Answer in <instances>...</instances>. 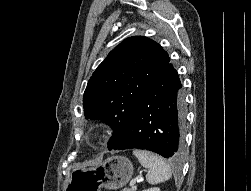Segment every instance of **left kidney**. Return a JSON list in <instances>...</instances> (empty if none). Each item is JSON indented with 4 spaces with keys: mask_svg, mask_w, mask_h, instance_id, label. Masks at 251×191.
I'll use <instances>...</instances> for the list:
<instances>
[{
    "mask_svg": "<svg viewBox=\"0 0 251 191\" xmlns=\"http://www.w3.org/2000/svg\"><path fill=\"white\" fill-rule=\"evenodd\" d=\"M143 191H160V187H149V189H143Z\"/></svg>",
    "mask_w": 251,
    "mask_h": 191,
    "instance_id": "5707ae66",
    "label": "left kidney"
}]
</instances>
